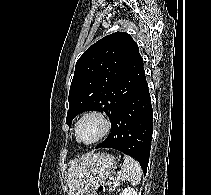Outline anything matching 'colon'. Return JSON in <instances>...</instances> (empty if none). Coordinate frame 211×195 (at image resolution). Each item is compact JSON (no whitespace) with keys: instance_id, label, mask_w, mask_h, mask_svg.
Segmentation results:
<instances>
[{"instance_id":"1","label":"colon","mask_w":211,"mask_h":195,"mask_svg":"<svg viewBox=\"0 0 211 195\" xmlns=\"http://www.w3.org/2000/svg\"><path fill=\"white\" fill-rule=\"evenodd\" d=\"M98 190L99 191H103L104 190V186H99Z\"/></svg>"}]
</instances>
